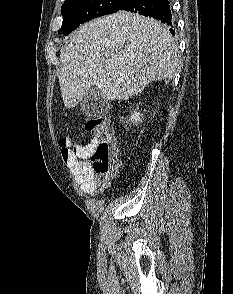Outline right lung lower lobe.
Masks as SVG:
<instances>
[{"instance_id": "obj_1", "label": "right lung lower lobe", "mask_w": 233, "mask_h": 294, "mask_svg": "<svg viewBox=\"0 0 233 294\" xmlns=\"http://www.w3.org/2000/svg\"><path fill=\"white\" fill-rule=\"evenodd\" d=\"M119 10H126L147 17H153L169 26L170 32L173 35L175 34L174 21L168 0H126Z\"/></svg>"}]
</instances>
